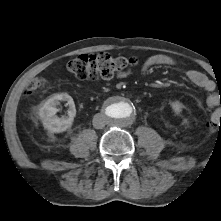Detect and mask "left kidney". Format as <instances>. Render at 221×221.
Masks as SVG:
<instances>
[{
    "instance_id": "5707ae66",
    "label": "left kidney",
    "mask_w": 221,
    "mask_h": 221,
    "mask_svg": "<svg viewBox=\"0 0 221 221\" xmlns=\"http://www.w3.org/2000/svg\"><path fill=\"white\" fill-rule=\"evenodd\" d=\"M171 107H172L173 111L175 112V114L178 115L182 111L183 105L179 101H174L171 103Z\"/></svg>"
}]
</instances>
